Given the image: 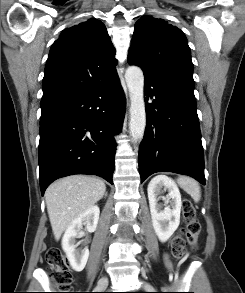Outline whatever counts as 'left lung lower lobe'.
Listing matches in <instances>:
<instances>
[{
  "instance_id": "left-lung-lower-lobe-1",
  "label": "left lung lower lobe",
  "mask_w": 245,
  "mask_h": 293,
  "mask_svg": "<svg viewBox=\"0 0 245 293\" xmlns=\"http://www.w3.org/2000/svg\"><path fill=\"white\" fill-rule=\"evenodd\" d=\"M146 128L139 149L141 182L155 172L189 175L205 184L194 96L144 74ZM152 103H148V100Z\"/></svg>"
}]
</instances>
